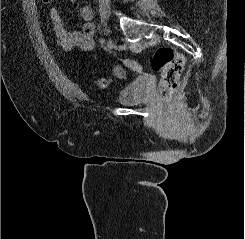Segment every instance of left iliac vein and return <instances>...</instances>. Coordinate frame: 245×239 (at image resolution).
I'll return each mask as SVG.
<instances>
[{
  "label": "left iliac vein",
  "mask_w": 245,
  "mask_h": 239,
  "mask_svg": "<svg viewBox=\"0 0 245 239\" xmlns=\"http://www.w3.org/2000/svg\"><path fill=\"white\" fill-rule=\"evenodd\" d=\"M114 45H115L114 40L112 38H109L107 41V48L109 50H112L114 48Z\"/></svg>",
  "instance_id": "obj_1"
}]
</instances>
